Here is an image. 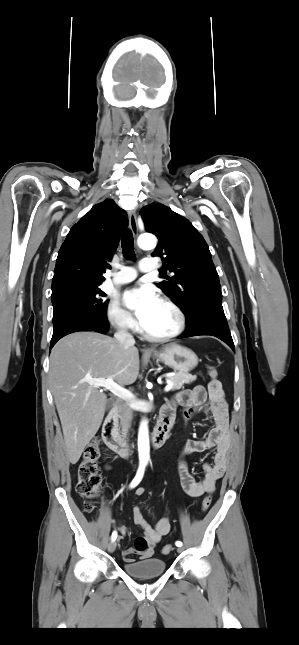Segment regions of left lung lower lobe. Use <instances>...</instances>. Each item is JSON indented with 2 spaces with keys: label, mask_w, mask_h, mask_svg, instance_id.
I'll list each match as a JSON object with an SVG mask.
<instances>
[{
  "label": "left lung lower lobe",
  "mask_w": 299,
  "mask_h": 645,
  "mask_svg": "<svg viewBox=\"0 0 299 645\" xmlns=\"http://www.w3.org/2000/svg\"><path fill=\"white\" fill-rule=\"evenodd\" d=\"M203 316L204 318L199 328L190 329L187 327L186 331L179 336V338L197 335H211L221 339L235 350L222 307V299L215 298L207 303L203 310Z\"/></svg>",
  "instance_id": "left-lung-lower-lobe-1"
}]
</instances>
